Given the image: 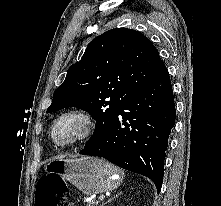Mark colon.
<instances>
[{
    "label": "colon",
    "mask_w": 221,
    "mask_h": 206,
    "mask_svg": "<svg viewBox=\"0 0 221 206\" xmlns=\"http://www.w3.org/2000/svg\"><path fill=\"white\" fill-rule=\"evenodd\" d=\"M36 206H68V189L55 182V176L41 178L37 183Z\"/></svg>",
    "instance_id": "colon-1"
}]
</instances>
